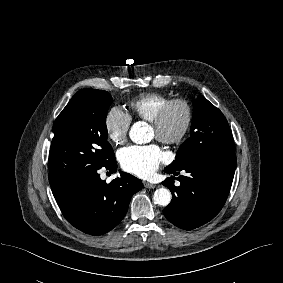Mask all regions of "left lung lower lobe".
<instances>
[{
  "label": "left lung lower lobe",
  "mask_w": 283,
  "mask_h": 283,
  "mask_svg": "<svg viewBox=\"0 0 283 283\" xmlns=\"http://www.w3.org/2000/svg\"><path fill=\"white\" fill-rule=\"evenodd\" d=\"M236 167V155L201 160L179 169H164L178 176L180 186L174 185L175 177L165 179L162 184L172 193L170 204L164 208L165 217L177 227L195 229L213 219L222 209L228 197Z\"/></svg>",
  "instance_id": "0a47b994"
}]
</instances>
